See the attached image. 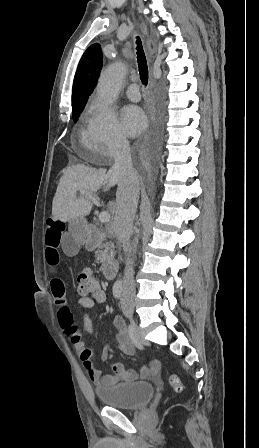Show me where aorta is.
Wrapping results in <instances>:
<instances>
[{"label":"aorta","mask_w":259,"mask_h":448,"mask_svg":"<svg viewBox=\"0 0 259 448\" xmlns=\"http://www.w3.org/2000/svg\"><path fill=\"white\" fill-rule=\"evenodd\" d=\"M125 72V65L118 62L110 65L101 74L97 85V95L104 104L110 105L116 100Z\"/></svg>","instance_id":"aorta-1"}]
</instances>
